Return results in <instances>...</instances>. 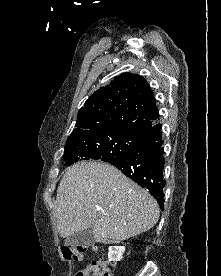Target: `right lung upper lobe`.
Returning <instances> with one entry per match:
<instances>
[{"mask_svg": "<svg viewBox=\"0 0 221 276\" xmlns=\"http://www.w3.org/2000/svg\"><path fill=\"white\" fill-rule=\"evenodd\" d=\"M158 117L159 111L147 81L140 75L123 73L87 99L67 141L112 132L143 138Z\"/></svg>", "mask_w": 221, "mask_h": 276, "instance_id": "obj_1", "label": "right lung upper lobe"}]
</instances>
